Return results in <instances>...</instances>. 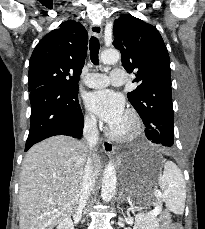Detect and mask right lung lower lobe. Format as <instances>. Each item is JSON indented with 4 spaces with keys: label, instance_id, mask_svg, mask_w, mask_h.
Returning <instances> with one entry per match:
<instances>
[{
    "label": "right lung lower lobe",
    "instance_id": "1",
    "mask_svg": "<svg viewBox=\"0 0 205 229\" xmlns=\"http://www.w3.org/2000/svg\"><path fill=\"white\" fill-rule=\"evenodd\" d=\"M77 93L57 84L30 91L31 125L25 151L54 135L82 136L84 119Z\"/></svg>",
    "mask_w": 205,
    "mask_h": 229
}]
</instances>
